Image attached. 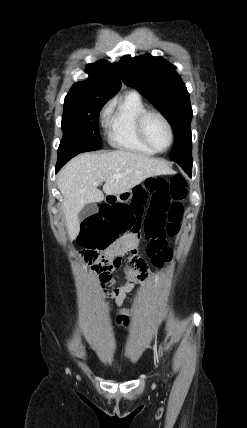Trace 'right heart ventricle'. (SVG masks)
I'll use <instances>...</instances> for the list:
<instances>
[{
  "label": "right heart ventricle",
  "mask_w": 247,
  "mask_h": 428,
  "mask_svg": "<svg viewBox=\"0 0 247 428\" xmlns=\"http://www.w3.org/2000/svg\"><path fill=\"white\" fill-rule=\"evenodd\" d=\"M145 110L146 104L135 90L128 91L113 103L105 117L109 144L122 150L154 155L156 152L143 143L137 132V118Z\"/></svg>",
  "instance_id": "1"
}]
</instances>
